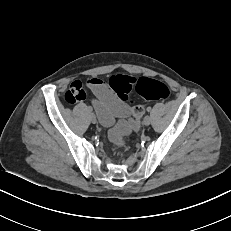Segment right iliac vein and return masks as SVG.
<instances>
[{
    "mask_svg": "<svg viewBox=\"0 0 231 231\" xmlns=\"http://www.w3.org/2000/svg\"><path fill=\"white\" fill-rule=\"evenodd\" d=\"M90 120L93 124H95L97 122V119L93 113L90 114Z\"/></svg>",
    "mask_w": 231,
    "mask_h": 231,
    "instance_id": "right-iliac-vein-1",
    "label": "right iliac vein"
}]
</instances>
